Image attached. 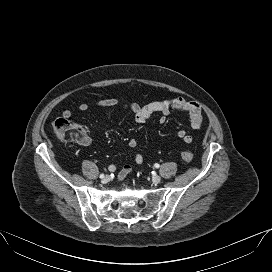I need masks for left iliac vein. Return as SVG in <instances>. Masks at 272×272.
Here are the masks:
<instances>
[{
    "label": "left iliac vein",
    "mask_w": 272,
    "mask_h": 272,
    "mask_svg": "<svg viewBox=\"0 0 272 272\" xmlns=\"http://www.w3.org/2000/svg\"><path fill=\"white\" fill-rule=\"evenodd\" d=\"M160 181H161L160 176L154 175V176L152 177V182H153L154 184H158V183H160Z\"/></svg>",
    "instance_id": "obj_1"
}]
</instances>
